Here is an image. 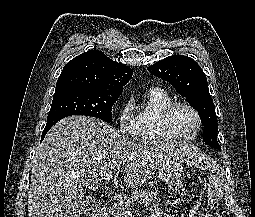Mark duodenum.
<instances>
[{
    "label": "duodenum",
    "mask_w": 255,
    "mask_h": 217,
    "mask_svg": "<svg viewBox=\"0 0 255 217\" xmlns=\"http://www.w3.org/2000/svg\"><path fill=\"white\" fill-rule=\"evenodd\" d=\"M107 215V210L105 208L96 210L93 214L92 217H106Z\"/></svg>",
    "instance_id": "410a0bca"
}]
</instances>
